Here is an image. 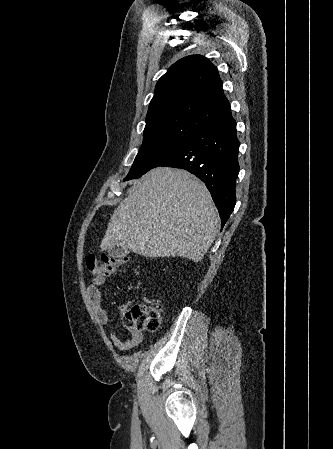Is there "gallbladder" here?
I'll return each instance as SVG.
<instances>
[{"instance_id": "bac80fb5", "label": "gallbladder", "mask_w": 333, "mask_h": 449, "mask_svg": "<svg viewBox=\"0 0 333 449\" xmlns=\"http://www.w3.org/2000/svg\"><path fill=\"white\" fill-rule=\"evenodd\" d=\"M108 255L110 257L122 258L126 257L131 251L126 245H122L121 243H116L114 246L107 250Z\"/></svg>"}]
</instances>
